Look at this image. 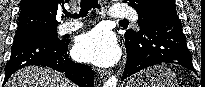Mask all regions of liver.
Listing matches in <instances>:
<instances>
[{"label":"liver","instance_id":"liver-1","mask_svg":"<svg viewBox=\"0 0 205 87\" xmlns=\"http://www.w3.org/2000/svg\"><path fill=\"white\" fill-rule=\"evenodd\" d=\"M5 87H71L58 72L43 67L28 66L14 73Z\"/></svg>","mask_w":205,"mask_h":87}]
</instances>
